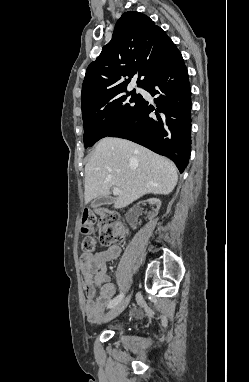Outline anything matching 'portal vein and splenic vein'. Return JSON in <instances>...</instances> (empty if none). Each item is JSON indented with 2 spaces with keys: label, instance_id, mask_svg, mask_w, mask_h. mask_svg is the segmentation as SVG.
<instances>
[{
  "label": "portal vein and splenic vein",
  "instance_id": "1",
  "mask_svg": "<svg viewBox=\"0 0 249 382\" xmlns=\"http://www.w3.org/2000/svg\"><path fill=\"white\" fill-rule=\"evenodd\" d=\"M113 195L120 196V195H122V192L120 191V189L114 187L113 188Z\"/></svg>",
  "mask_w": 249,
  "mask_h": 382
}]
</instances>
